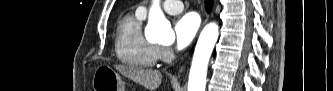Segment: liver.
I'll return each instance as SVG.
<instances>
[{"instance_id":"liver-1","label":"liver","mask_w":333,"mask_h":91,"mask_svg":"<svg viewBox=\"0 0 333 91\" xmlns=\"http://www.w3.org/2000/svg\"><path fill=\"white\" fill-rule=\"evenodd\" d=\"M115 69L128 79L155 91L162 82V74L158 70L143 69L133 66L115 65Z\"/></svg>"}]
</instances>
